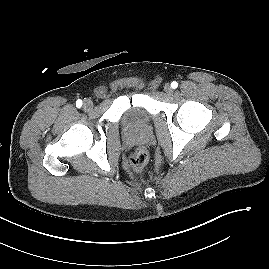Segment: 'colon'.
<instances>
[{
    "label": "colon",
    "instance_id": "colon-1",
    "mask_svg": "<svg viewBox=\"0 0 269 269\" xmlns=\"http://www.w3.org/2000/svg\"><path fill=\"white\" fill-rule=\"evenodd\" d=\"M128 161L133 169H141L148 162V154L144 149L139 148L129 155Z\"/></svg>",
    "mask_w": 269,
    "mask_h": 269
}]
</instances>
